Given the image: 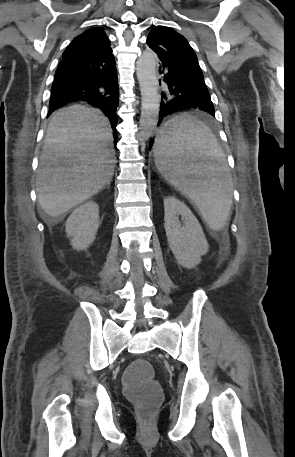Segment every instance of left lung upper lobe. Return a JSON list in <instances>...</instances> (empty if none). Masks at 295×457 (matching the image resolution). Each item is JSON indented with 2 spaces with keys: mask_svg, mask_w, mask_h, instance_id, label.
Wrapping results in <instances>:
<instances>
[{
  "mask_svg": "<svg viewBox=\"0 0 295 457\" xmlns=\"http://www.w3.org/2000/svg\"><path fill=\"white\" fill-rule=\"evenodd\" d=\"M147 42L154 43L177 59L200 68L197 56L188 41L173 29L156 27L149 33Z\"/></svg>",
  "mask_w": 295,
  "mask_h": 457,
  "instance_id": "obj_1",
  "label": "left lung upper lobe"
}]
</instances>
